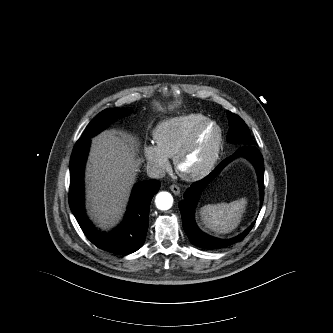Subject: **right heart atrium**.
<instances>
[{"label": "right heart atrium", "instance_id": "d8ad5b80", "mask_svg": "<svg viewBox=\"0 0 333 333\" xmlns=\"http://www.w3.org/2000/svg\"><path fill=\"white\" fill-rule=\"evenodd\" d=\"M144 157L148 167L157 175H162L170 168L168 157H166L154 144H146L143 149Z\"/></svg>", "mask_w": 333, "mask_h": 333}]
</instances>
